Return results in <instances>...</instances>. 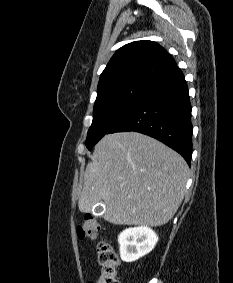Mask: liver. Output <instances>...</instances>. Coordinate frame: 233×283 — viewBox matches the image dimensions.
<instances>
[{"label": "liver", "mask_w": 233, "mask_h": 283, "mask_svg": "<svg viewBox=\"0 0 233 283\" xmlns=\"http://www.w3.org/2000/svg\"><path fill=\"white\" fill-rule=\"evenodd\" d=\"M188 172L180 154L152 137L107 134L86 166L78 207L88 213L103 202V218L110 223L162 226L184 198Z\"/></svg>", "instance_id": "6515ba94"}]
</instances>
